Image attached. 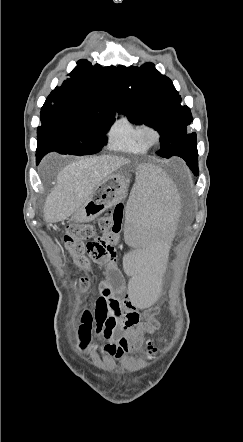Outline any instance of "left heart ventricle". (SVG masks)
Instances as JSON below:
<instances>
[{
  "label": "left heart ventricle",
  "instance_id": "obj_1",
  "mask_svg": "<svg viewBox=\"0 0 243 442\" xmlns=\"http://www.w3.org/2000/svg\"><path fill=\"white\" fill-rule=\"evenodd\" d=\"M154 138H155V136H154L153 133H149V134H148V139H149V140L152 141V140H154Z\"/></svg>",
  "mask_w": 243,
  "mask_h": 442
}]
</instances>
